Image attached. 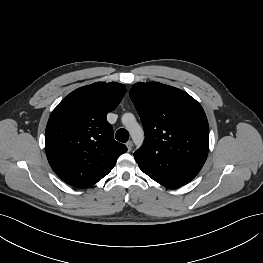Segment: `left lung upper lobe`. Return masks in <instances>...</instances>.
I'll return each mask as SVG.
<instances>
[{"instance_id": "left-lung-upper-lobe-1", "label": "left lung upper lobe", "mask_w": 263, "mask_h": 263, "mask_svg": "<svg viewBox=\"0 0 263 263\" xmlns=\"http://www.w3.org/2000/svg\"><path fill=\"white\" fill-rule=\"evenodd\" d=\"M129 95L145 132L135 160L146 166L172 162L199 172L209 150V126L200 104L186 92L157 82L136 83Z\"/></svg>"}]
</instances>
